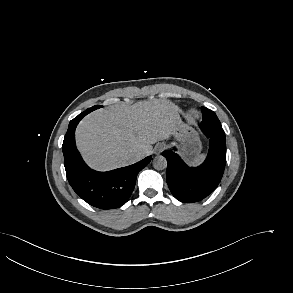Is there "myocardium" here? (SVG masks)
<instances>
[{
	"mask_svg": "<svg viewBox=\"0 0 293 293\" xmlns=\"http://www.w3.org/2000/svg\"><path fill=\"white\" fill-rule=\"evenodd\" d=\"M189 116L191 118H196L198 115H197V113L195 111H191L190 114H189Z\"/></svg>",
	"mask_w": 293,
	"mask_h": 293,
	"instance_id": "f54148a6",
	"label": "myocardium"
}]
</instances>
